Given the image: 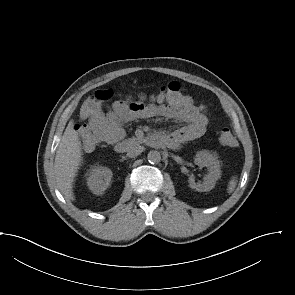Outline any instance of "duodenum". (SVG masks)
Returning a JSON list of instances; mask_svg holds the SVG:
<instances>
[{
    "label": "duodenum",
    "mask_w": 295,
    "mask_h": 295,
    "mask_svg": "<svg viewBox=\"0 0 295 295\" xmlns=\"http://www.w3.org/2000/svg\"><path fill=\"white\" fill-rule=\"evenodd\" d=\"M148 142L152 146H160L161 144L164 143V139L158 134H152L149 136ZM127 150H128V145L125 142L121 141L115 144V151L117 153H124Z\"/></svg>",
    "instance_id": "obj_1"
}]
</instances>
